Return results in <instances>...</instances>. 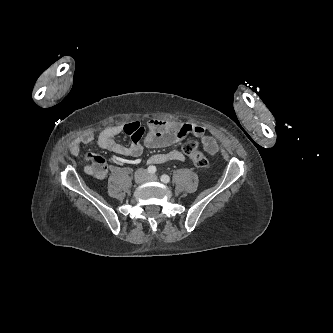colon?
<instances>
[{
  "label": "colon",
  "mask_w": 333,
  "mask_h": 333,
  "mask_svg": "<svg viewBox=\"0 0 333 333\" xmlns=\"http://www.w3.org/2000/svg\"><path fill=\"white\" fill-rule=\"evenodd\" d=\"M198 146V141L190 140L183 145L182 150L186 155L192 158V161L197 167H207L209 164L208 158L203 154H198Z\"/></svg>",
  "instance_id": "obj_1"
}]
</instances>
